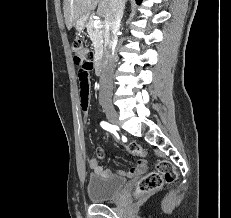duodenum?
Wrapping results in <instances>:
<instances>
[{
  "label": "duodenum",
  "instance_id": "410a0bca",
  "mask_svg": "<svg viewBox=\"0 0 231 218\" xmlns=\"http://www.w3.org/2000/svg\"><path fill=\"white\" fill-rule=\"evenodd\" d=\"M94 69L97 75H102L103 73V65H102V59L101 56L98 54L94 60Z\"/></svg>",
  "mask_w": 231,
  "mask_h": 218
}]
</instances>
